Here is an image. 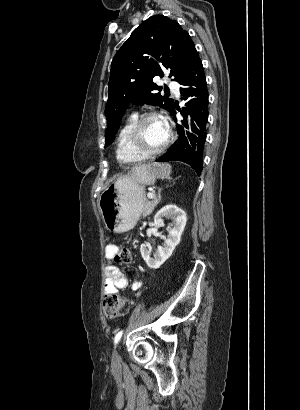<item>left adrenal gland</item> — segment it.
Returning <instances> with one entry per match:
<instances>
[{
    "instance_id": "1",
    "label": "left adrenal gland",
    "mask_w": 300,
    "mask_h": 410,
    "mask_svg": "<svg viewBox=\"0 0 300 410\" xmlns=\"http://www.w3.org/2000/svg\"><path fill=\"white\" fill-rule=\"evenodd\" d=\"M160 193H161V189H158V193H157V200H158V201H159V200H160V198H161Z\"/></svg>"
}]
</instances>
